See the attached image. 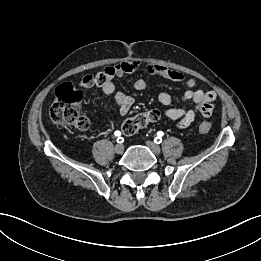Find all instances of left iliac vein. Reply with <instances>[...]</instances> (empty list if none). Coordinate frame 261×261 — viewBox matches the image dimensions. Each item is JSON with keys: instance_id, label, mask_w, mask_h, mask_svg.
<instances>
[{"instance_id": "4c4485c4", "label": "left iliac vein", "mask_w": 261, "mask_h": 261, "mask_svg": "<svg viewBox=\"0 0 261 261\" xmlns=\"http://www.w3.org/2000/svg\"><path fill=\"white\" fill-rule=\"evenodd\" d=\"M146 145L151 149L154 153H160L161 148L158 144L152 142V141H146Z\"/></svg>"}]
</instances>
